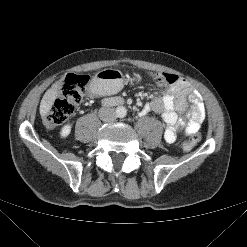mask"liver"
<instances>
[{
    "label": "liver",
    "instance_id": "6515ba94",
    "mask_svg": "<svg viewBox=\"0 0 247 247\" xmlns=\"http://www.w3.org/2000/svg\"><path fill=\"white\" fill-rule=\"evenodd\" d=\"M59 89H60V84L56 83L54 84L50 89H48L40 103V115L44 117L49 113V111L52 108V105L54 104L55 99L58 97L59 94Z\"/></svg>",
    "mask_w": 247,
    "mask_h": 247
}]
</instances>
